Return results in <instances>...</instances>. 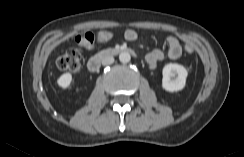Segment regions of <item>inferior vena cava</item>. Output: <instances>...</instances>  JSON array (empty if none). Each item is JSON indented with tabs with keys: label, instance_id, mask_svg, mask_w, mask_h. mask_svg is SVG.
I'll return each mask as SVG.
<instances>
[{
	"label": "inferior vena cava",
	"instance_id": "602c4592",
	"mask_svg": "<svg viewBox=\"0 0 244 157\" xmlns=\"http://www.w3.org/2000/svg\"><path fill=\"white\" fill-rule=\"evenodd\" d=\"M102 65L106 66V65H110L114 62V57L111 55H106L102 58Z\"/></svg>",
	"mask_w": 244,
	"mask_h": 157
}]
</instances>
